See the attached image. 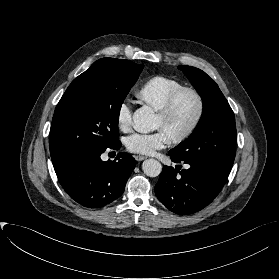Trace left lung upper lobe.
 I'll list each match as a JSON object with an SVG mask.
<instances>
[{"mask_svg": "<svg viewBox=\"0 0 279 279\" xmlns=\"http://www.w3.org/2000/svg\"><path fill=\"white\" fill-rule=\"evenodd\" d=\"M203 101L202 117L192 134L170 150L181 161L208 163L230 173L236 147L234 113L218 85L202 70L178 66Z\"/></svg>", "mask_w": 279, "mask_h": 279, "instance_id": "obj_1", "label": "left lung upper lobe"}]
</instances>
